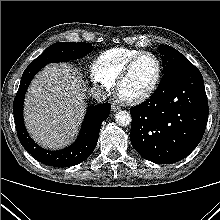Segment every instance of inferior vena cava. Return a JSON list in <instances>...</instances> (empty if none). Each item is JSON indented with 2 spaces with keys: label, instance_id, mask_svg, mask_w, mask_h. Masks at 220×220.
Returning <instances> with one entry per match:
<instances>
[{
  "label": "inferior vena cava",
  "instance_id": "602c4592",
  "mask_svg": "<svg viewBox=\"0 0 220 220\" xmlns=\"http://www.w3.org/2000/svg\"><path fill=\"white\" fill-rule=\"evenodd\" d=\"M91 94H92V97L98 102H103L107 98L105 91L99 88H92Z\"/></svg>",
  "mask_w": 220,
  "mask_h": 220
}]
</instances>
